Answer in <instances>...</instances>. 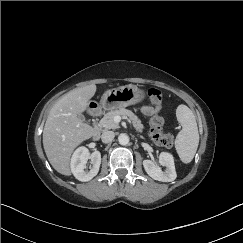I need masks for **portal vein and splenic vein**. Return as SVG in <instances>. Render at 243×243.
<instances>
[{"label":"portal vein and splenic vein","mask_w":243,"mask_h":243,"mask_svg":"<svg viewBox=\"0 0 243 243\" xmlns=\"http://www.w3.org/2000/svg\"><path fill=\"white\" fill-rule=\"evenodd\" d=\"M120 120H121V117H120V116H115V117H114V121H115L116 123H119Z\"/></svg>","instance_id":"18ae733b"}]
</instances>
